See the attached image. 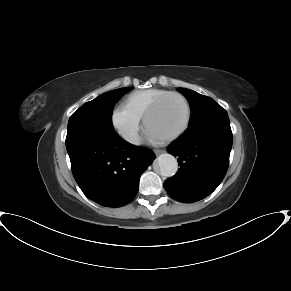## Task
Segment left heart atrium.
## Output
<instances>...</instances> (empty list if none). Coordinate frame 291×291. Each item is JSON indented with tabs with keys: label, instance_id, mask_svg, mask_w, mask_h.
I'll return each mask as SVG.
<instances>
[{
	"label": "left heart atrium",
	"instance_id": "1",
	"mask_svg": "<svg viewBox=\"0 0 291 291\" xmlns=\"http://www.w3.org/2000/svg\"><path fill=\"white\" fill-rule=\"evenodd\" d=\"M146 135L148 137V139L152 140V141H157L162 139L159 135H157L154 131H152L150 128H147L146 130Z\"/></svg>",
	"mask_w": 291,
	"mask_h": 291
}]
</instances>
